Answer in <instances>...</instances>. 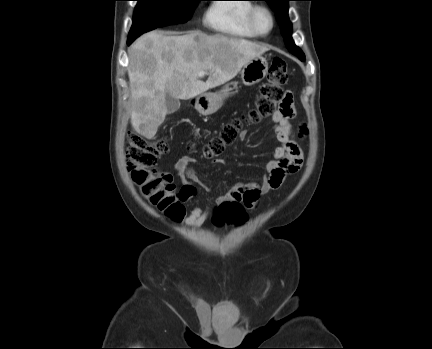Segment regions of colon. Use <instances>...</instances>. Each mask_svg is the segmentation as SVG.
I'll list each match as a JSON object with an SVG mask.
<instances>
[{
	"label": "colon",
	"mask_w": 432,
	"mask_h": 349,
	"mask_svg": "<svg viewBox=\"0 0 432 349\" xmlns=\"http://www.w3.org/2000/svg\"><path fill=\"white\" fill-rule=\"evenodd\" d=\"M288 76L286 62L282 58H274L267 74V81L260 89L254 108L243 117L226 124L221 132L204 146V157L214 158L222 154L226 146L239 136L244 124L259 122L275 112L289 113L292 94L283 89ZM192 146L190 144V147ZM167 150L166 138L149 142L138 134H131L126 145L127 168L142 195L165 215L178 220L183 216L184 208L176 192L172 175L156 167L158 159ZM245 219L244 206L239 202L223 203L214 217L218 225L240 224Z\"/></svg>",
	"instance_id": "1"
}]
</instances>
